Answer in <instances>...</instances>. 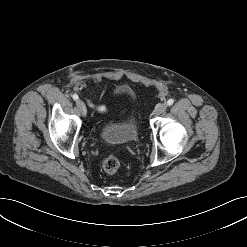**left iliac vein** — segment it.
<instances>
[{
    "mask_svg": "<svg viewBox=\"0 0 247 247\" xmlns=\"http://www.w3.org/2000/svg\"><path fill=\"white\" fill-rule=\"evenodd\" d=\"M167 109V104L166 103H160L156 106L154 110V115H160L163 112H165Z\"/></svg>",
    "mask_w": 247,
    "mask_h": 247,
    "instance_id": "left-iliac-vein-1",
    "label": "left iliac vein"
}]
</instances>
